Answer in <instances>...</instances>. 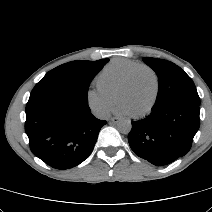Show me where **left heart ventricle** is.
I'll use <instances>...</instances> for the list:
<instances>
[{
    "instance_id": "b2bd125f",
    "label": "left heart ventricle",
    "mask_w": 212,
    "mask_h": 212,
    "mask_svg": "<svg viewBox=\"0 0 212 212\" xmlns=\"http://www.w3.org/2000/svg\"><path fill=\"white\" fill-rule=\"evenodd\" d=\"M154 93V81L147 71L139 72L132 84L121 94L120 101L125 104L132 113L145 109Z\"/></svg>"
}]
</instances>
